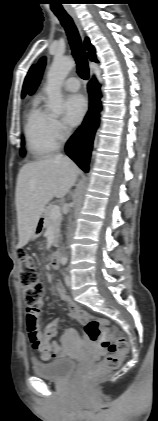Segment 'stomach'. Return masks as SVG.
<instances>
[{
	"label": "stomach",
	"instance_id": "0dacf381",
	"mask_svg": "<svg viewBox=\"0 0 158 421\" xmlns=\"http://www.w3.org/2000/svg\"><path fill=\"white\" fill-rule=\"evenodd\" d=\"M43 226H44L43 221H41V220L39 219V221H38V223H37V226H36V228H35V230H34V232H33L32 236H31V239H36V238H38V237H39V235H40V233H41V231H42V229H43Z\"/></svg>",
	"mask_w": 158,
	"mask_h": 421
}]
</instances>
